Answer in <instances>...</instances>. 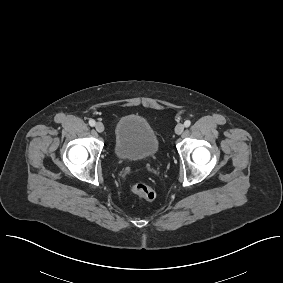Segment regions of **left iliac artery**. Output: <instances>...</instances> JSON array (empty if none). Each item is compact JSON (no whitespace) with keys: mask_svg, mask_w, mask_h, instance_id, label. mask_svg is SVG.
<instances>
[{"mask_svg":"<svg viewBox=\"0 0 283 283\" xmlns=\"http://www.w3.org/2000/svg\"><path fill=\"white\" fill-rule=\"evenodd\" d=\"M190 125H191L190 120H186V121L184 122V126H185V127H189Z\"/></svg>","mask_w":283,"mask_h":283,"instance_id":"1","label":"left iliac artery"}]
</instances>
